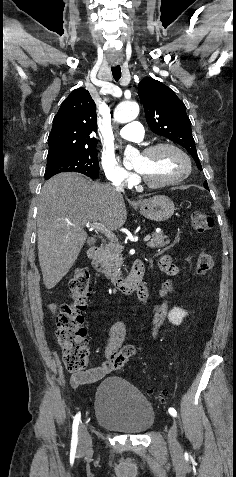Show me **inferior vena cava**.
Here are the masks:
<instances>
[{"label":"inferior vena cava","instance_id":"1","mask_svg":"<svg viewBox=\"0 0 236 477\" xmlns=\"http://www.w3.org/2000/svg\"><path fill=\"white\" fill-rule=\"evenodd\" d=\"M114 186L116 187V191H117L118 193L121 194V193L124 191L122 184L114 183Z\"/></svg>","mask_w":236,"mask_h":477}]
</instances>
